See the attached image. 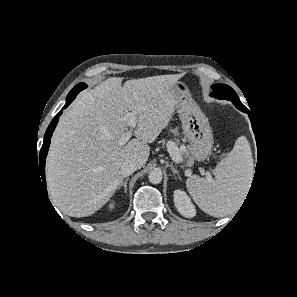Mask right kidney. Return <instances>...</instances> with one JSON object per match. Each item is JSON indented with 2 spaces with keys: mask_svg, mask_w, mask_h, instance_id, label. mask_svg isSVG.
<instances>
[{
  "mask_svg": "<svg viewBox=\"0 0 297 297\" xmlns=\"http://www.w3.org/2000/svg\"><path fill=\"white\" fill-rule=\"evenodd\" d=\"M111 209L114 208V203H111L110 206H109Z\"/></svg>",
  "mask_w": 297,
  "mask_h": 297,
  "instance_id": "ca27d5eb",
  "label": "right kidney"
}]
</instances>
